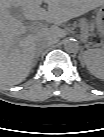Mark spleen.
I'll return each instance as SVG.
<instances>
[{
	"label": "spleen",
	"mask_w": 104,
	"mask_h": 137,
	"mask_svg": "<svg viewBox=\"0 0 104 137\" xmlns=\"http://www.w3.org/2000/svg\"><path fill=\"white\" fill-rule=\"evenodd\" d=\"M84 61L92 73L97 75L102 73L103 55L100 49H89L85 51Z\"/></svg>",
	"instance_id": "spleen-1"
}]
</instances>
